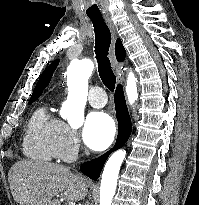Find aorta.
I'll return each mask as SVG.
<instances>
[{"label": "aorta", "mask_w": 199, "mask_h": 205, "mask_svg": "<svg viewBox=\"0 0 199 205\" xmlns=\"http://www.w3.org/2000/svg\"><path fill=\"white\" fill-rule=\"evenodd\" d=\"M94 69L90 59L73 60L67 69L68 96L63 105V116L71 126H80L84 121L83 109L87 100L88 79ZM136 78L129 73L126 84V95L130 104L138 98ZM126 152H114L105 164L100 185V205H111L114 197L118 174Z\"/></svg>", "instance_id": "obj_1"}]
</instances>
